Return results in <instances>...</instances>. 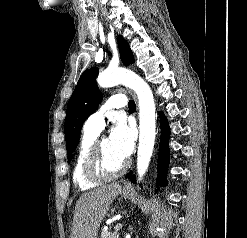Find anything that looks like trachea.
Masks as SVG:
<instances>
[{
	"mask_svg": "<svg viewBox=\"0 0 247 238\" xmlns=\"http://www.w3.org/2000/svg\"><path fill=\"white\" fill-rule=\"evenodd\" d=\"M128 106H129V109H135L136 108L135 102L133 100L129 101Z\"/></svg>",
	"mask_w": 247,
	"mask_h": 238,
	"instance_id": "3493384b",
	"label": "trachea"
}]
</instances>
